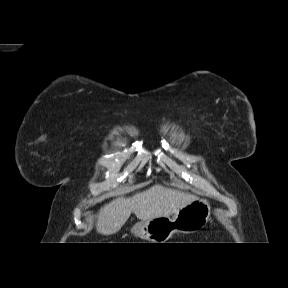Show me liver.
<instances>
[{
  "label": "liver",
  "mask_w": 288,
  "mask_h": 288,
  "mask_svg": "<svg viewBox=\"0 0 288 288\" xmlns=\"http://www.w3.org/2000/svg\"><path fill=\"white\" fill-rule=\"evenodd\" d=\"M196 197L156 184L132 197H118L101 208L96 230L102 235L118 232L131 213L142 221L155 217L170 216L187 206Z\"/></svg>",
  "instance_id": "obj_1"
}]
</instances>
